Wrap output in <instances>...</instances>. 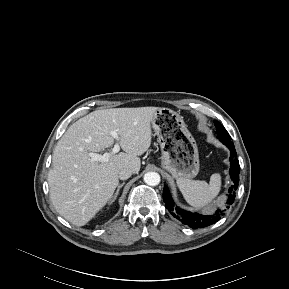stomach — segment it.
Listing matches in <instances>:
<instances>
[{
    "label": "stomach",
    "instance_id": "0dacf381",
    "mask_svg": "<svg viewBox=\"0 0 289 289\" xmlns=\"http://www.w3.org/2000/svg\"><path fill=\"white\" fill-rule=\"evenodd\" d=\"M151 126L161 147L163 168L177 180L195 177L199 172L198 148L183 117L169 108H158Z\"/></svg>",
    "mask_w": 289,
    "mask_h": 289
}]
</instances>
